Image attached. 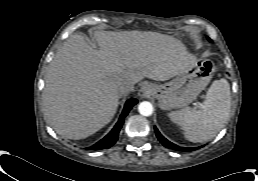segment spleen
Wrapping results in <instances>:
<instances>
[{
    "mask_svg": "<svg viewBox=\"0 0 258 181\" xmlns=\"http://www.w3.org/2000/svg\"><path fill=\"white\" fill-rule=\"evenodd\" d=\"M230 108V85L226 79H220L213 81L199 109L172 111L168 116L182 128L187 140L204 142L215 137L223 128Z\"/></svg>",
    "mask_w": 258,
    "mask_h": 181,
    "instance_id": "obj_1",
    "label": "spleen"
}]
</instances>
